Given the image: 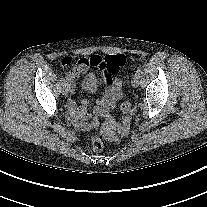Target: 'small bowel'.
<instances>
[{
    "label": "small bowel",
    "instance_id": "1",
    "mask_svg": "<svg viewBox=\"0 0 207 207\" xmlns=\"http://www.w3.org/2000/svg\"><path fill=\"white\" fill-rule=\"evenodd\" d=\"M104 89L101 99L96 102L92 112H89L91 101L89 99L81 100L80 104L70 99L67 103V114L70 120L81 130H90L98 128L100 123L98 116L106 117L115 108L116 102L122 97V81L120 78L109 76L104 78ZM71 92H74V85H69Z\"/></svg>",
    "mask_w": 207,
    "mask_h": 207
}]
</instances>
